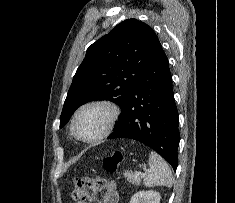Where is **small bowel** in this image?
<instances>
[{
    "mask_svg": "<svg viewBox=\"0 0 235 203\" xmlns=\"http://www.w3.org/2000/svg\"><path fill=\"white\" fill-rule=\"evenodd\" d=\"M119 194L117 191L116 184L114 182H109L106 185L105 192L101 199L97 200L96 203H118Z\"/></svg>",
    "mask_w": 235,
    "mask_h": 203,
    "instance_id": "c3829d8e",
    "label": "small bowel"
}]
</instances>
